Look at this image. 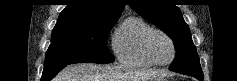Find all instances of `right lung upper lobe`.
Wrapping results in <instances>:
<instances>
[{
    "label": "right lung upper lobe",
    "mask_w": 237,
    "mask_h": 81,
    "mask_svg": "<svg viewBox=\"0 0 237 81\" xmlns=\"http://www.w3.org/2000/svg\"><path fill=\"white\" fill-rule=\"evenodd\" d=\"M59 19L118 20L125 4L123 0H68Z\"/></svg>",
    "instance_id": "1"
}]
</instances>
